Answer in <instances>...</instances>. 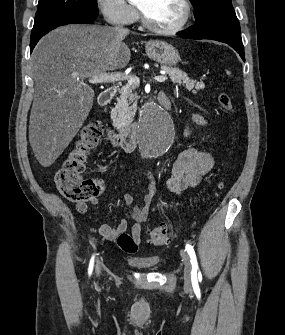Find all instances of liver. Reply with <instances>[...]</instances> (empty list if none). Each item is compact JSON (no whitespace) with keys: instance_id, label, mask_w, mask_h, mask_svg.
I'll list each match as a JSON object with an SVG mask.
<instances>
[{"instance_id":"1","label":"liver","mask_w":285,"mask_h":335,"mask_svg":"<svg viewBox=\"0 0 285 335\" xmlns=\"http://www.w3.org/2000/svg\"><path fill=\"white\" fill-rule=\"evenodd\" d=\"M125 38L110 26L70 24L38 42L31 56L36 88L29 142L43 168L54 164L90 114L95 94L86 78L130 62Z\"/></svg>"}]
</instances>
